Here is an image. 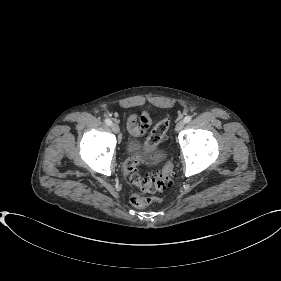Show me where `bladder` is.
<instances>
[{"label":"bladder","instance_id":"obj_1","mask_svg":"<svg viewBox=\"0 0 281 281\" xmlns=\"http://www.w3.org/2000/svg\"><path fill=\"white\" fill-rule=\"evenodd\" d=\"M142 150V143L141 141L136 137H131L127 143H126V152L131 155H140ZM159 156L155 157V159H158Z\"/></svg>","mask_w":281,"mask_h":281}]
</instances>
